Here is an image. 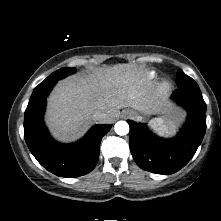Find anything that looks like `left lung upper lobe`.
Masks as SVG:
<instances>
[{"mask_svg":"<svg viewBox=\"0 0 221 221\" xmlns=\"http://www.w3.org/2000/svg\"><path fill=\"white\" fill-rule=\"evenodd\" d=\"M177 87L178 89L200 90L197 83L181 69L177 71Z\"/></svg>","mask_w":221,"mask_h":221,"instance_id":"5c2ea615","label":"left lung upper lobe"}]
</instances>
